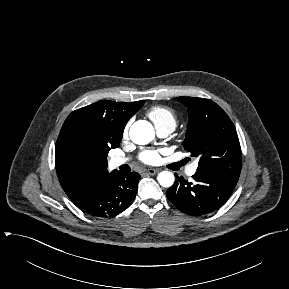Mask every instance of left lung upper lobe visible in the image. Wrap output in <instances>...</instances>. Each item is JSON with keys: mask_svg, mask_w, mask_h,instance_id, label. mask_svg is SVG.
<instances>
[{"mask_svg": "<svg viewBox=\"0 0 289 289\" xmlns=\"http://www.w3.org/2000/svg\"><path fill=\"white\" fill-rule=\"evenodd\" d=\"M188 108L189 123L183 147L199 157L197 171L219 174L238 182L242 153L234 124L213 101L177 97Z\"/></svg>", "mask_w": 289, "mask_h": 289, "instance_id": "5c2ea615", "label": "left lung upper lobe"}]
</instances>
